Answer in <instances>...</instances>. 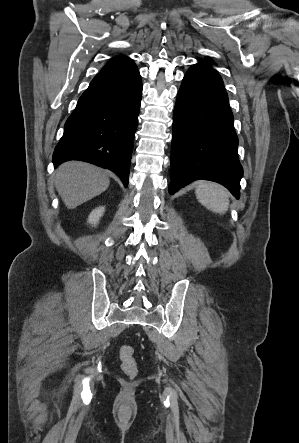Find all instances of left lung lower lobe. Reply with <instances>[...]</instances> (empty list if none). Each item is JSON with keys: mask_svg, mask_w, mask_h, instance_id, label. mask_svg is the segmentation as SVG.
I'll use <instances>...</instances> for the list:
<instances>
[{"mask_svg": "<svg viewBox=\"0 0 299 443\" xmlns=\"http://www.w3.org/2000/svg\"><path fill=\"white\" fill-rule=\"evenodd\" d=\"M172 131L169 193L205 179L224 185L238 199L243 175L238 137L222 78L210 66L198 63L185 74Z\"/></svg>", "mask_w": 299, "mask_h": 443, "instance_id": "0a47b994", "label": "left lung lower lobe"}]
</instances>
